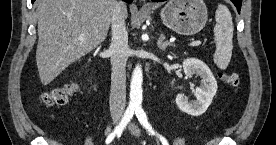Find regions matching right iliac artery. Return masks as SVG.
<instances>
[{"instance_id":"right-iliac-artery-1","label":"right iliac artery","mask_w":276,"mask_h":145,"mask_svg":"<svg viewBox=\"0 0 276 145\" xmlns=\"http://www.w3.org/2000/svg\"><path fill=\"white\" fill-rule=\"evenodd\" d=\"M135 112L134 107H128L124 113V116L122 117L120 123L115 127L114 131L108 135L106 138V144H109L112 142V140L115 138V136H120L125 129L126 125L129 123V121L132 119Z\"/></svg>"}]
</instances>
